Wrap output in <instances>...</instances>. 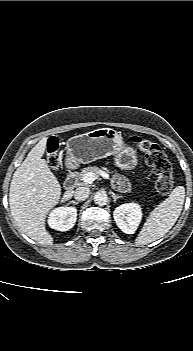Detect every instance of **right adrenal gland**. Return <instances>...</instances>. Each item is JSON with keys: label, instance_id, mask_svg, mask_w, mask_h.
Listing matches in <instances>:
<instances>
[{"label": "right adrenal gland", "instance_id": "2a0ac1e0", "mask_svg": "<svg viewBox=\"0 0 193 351\" xmlns=\"http://www.w3.org/2000/svg\"><path fill=\"white\" fill-rule=\"evenodd\" d=\"M79 203H80L79 201H74V200H72V201L69 202V204H74V205H77V204H79Z\"/></svg>", "mask_w": 193, "mask_h": 351}]
</instances>
